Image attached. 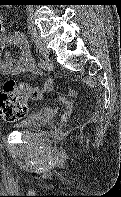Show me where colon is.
<instances>
[{
	"mask_svg": "<svg viewBox=\"0 0 121 197\" xmlns=\"http://www.w3.org/2000/svg\"><path fill=\"white\" fill-rule=\"evenodd\" d=\"M61 88L66 84L61 83ZM35 93L33 87L14 80L6 81L0 91V115L10 122L18 121L28 112L27 100L33 99Z\"/></svg>",
	"mask_w": 121,
	"mask_h": 197,
	"instance_id": "obj_1",
	"label": "colon"
}]
</instances>
